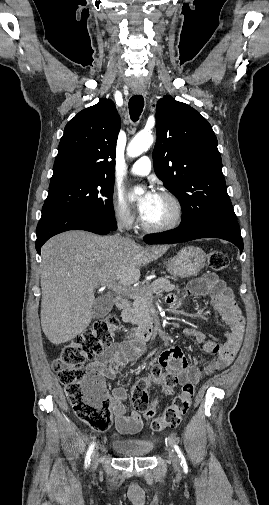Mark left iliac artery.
Segmentation results:
<instances>
[{"label":"left iliac artery","mask_w":269,"mask_h":505,"mask_svg":"<svg viewBox=\"0 0 269 505\" xmlns=\"http://www.w3.org/2000/svg\"><path fill=\"white\" fill-rule=\"evenodd\" d=\"M174 449H175V451H176V453H177L178 457H179V458H180V460H181V466H182V468H183L184 472H188V466H187V463H186L185 457H184V455H183V453H182L181 449L179 448V446H178V445H174Z\"/></svg>","instance_id":"left-iliac-artery-1"}]
</instances>
